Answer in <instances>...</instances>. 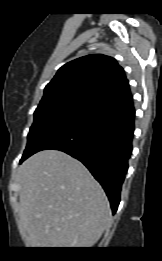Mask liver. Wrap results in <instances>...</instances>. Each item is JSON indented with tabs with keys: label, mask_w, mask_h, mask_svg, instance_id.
Returning a JSON list of instances; mask_svg holds the SVG:
<instances>
[{
	"label": "liver",
	"mask_w": 162,
	"mask_h": 261,
	"mask_svg": "<svg viewBox=\"0 0 162 261\" xmlns=\"http://www.w3.org/2000/svg\"><path fill=\"white\" fill-rule=\"evenodd\" d=\"M20 220L35 248L92 247L107 228L108 199L87 168L57 150L38 152L19 169Z\"/></svg>",
	"instance_id": "1"
}]
</instances>
